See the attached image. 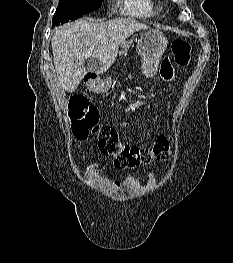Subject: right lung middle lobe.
<instances>
[{"mask_svg": "<svg viewBox=\"0 0 233 263\" xmlns=\"http://www.w3.org/2000/svg\"><path fill=\"white\" fill-rule=\"evenodd\" d=\"M103 0H59L53 16V24L60 25L76 20L91 11L98 9Z\"/></svg>", "mask_w": 233, "mask_h": 263, "instance_id": "obj_1", "label": "right lung middle lobe"}]
</instances>
